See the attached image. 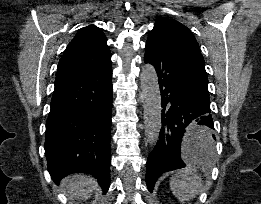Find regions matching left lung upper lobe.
<instances>
[{
	"label": "left lung upper lobe",
	"instance_id": "1",
	"mask_svg": "<svg viewBox=\"0 0 261 204\" xmlns=\"http://www.w3.org/2000/svg\"><path fill=\"white\" fill-rule=\"evenodd\" d=\"M151 39L182 50L201 66L205 67V62L195 37L183 24L172 19L158 18L148 36V40Z\"/></svg>",
	"mask_w": 261,
	"mask_h": 204
}]
</instances>
